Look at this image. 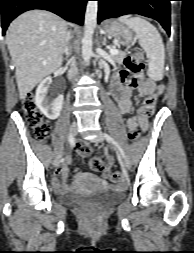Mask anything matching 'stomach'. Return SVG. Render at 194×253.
<instances>
[{
  "label": "stomach",
  "mask_w": 194,
  "mask_h": 253,
  "mask_svg": "<svg viewBox=\"0 0 194 253\" xmlns=\"http://www.w3.org/2000/svg\"><path fill=\"white\" fill-rule=\"evenodd\" d=\"M103 32L114 39V41L123 46H128L133 42L132 31L117 21H110L103 25Z\"/></svg>",
  "instance_id": "1"
}]
</instances>
